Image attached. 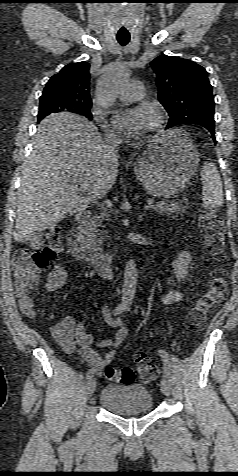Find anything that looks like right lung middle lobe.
Returning a JSON list of instances; mask_svg holds the SVG:
<instances>
[{"mask_svg": "<svg viewBox=\"0 0 238 476\" xmlns=\"http://www.w3.org/2000/svg\"><path fill=\"white\" fill-rule=\"evenodd\" d=\"M67 111L60 107L59 105L51 102H40L39 104V113H38V120H41L43 117L51 114V113H56V112H63ZM71 112V111H70ZM77 114H81L88 119H92V114L90 112V107L78 110L77 112H74Z\"/></svg>", "mask_w": 238, "mask_h": 476, "instance_id": "right-lung-middle-lobe-1", "label": "right lung middle lobe"}]
</instances>
